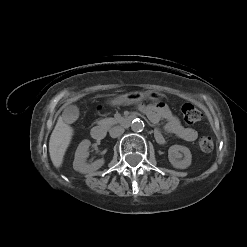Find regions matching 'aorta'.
Here are the masks:
<instances>
[{
	"label": "aorta",
	"instance_id": "762f6f07",
	"mask_svg": "<svg viewBox=\"0 0 247 247\" xmlns=\"http://www.w3.org/2000/svg\"><path fill=\"white\" fill-rule=\"evenodd\" d=\"M131 129L134 132H141L144 129V122L139 118H136L131 123Z\"/></svg>",
	"mask_w": 247,
	"mask_h": 247
}]
</instances>
